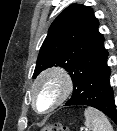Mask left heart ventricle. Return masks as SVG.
Returning a JSON list of instances; mask_svg holds the SVG:
<instances>
[{
  "label": "left heart ventricle",
  "instance_id": "b2bd125f",
  "mask_svg": "<svg viewBox=\"0 0 117 131\" xmlns=\"http://www.w3.org/2000/svg\"><path fill=\"white\" fill-rule=\"evenodd\" d=\"M59 84L54 80L44 82L36 91V103L39 110L48 109L57 99Z\"/></svg>",
  "mask_w": 117,
  "mask_h": 131
}]
</instances>
